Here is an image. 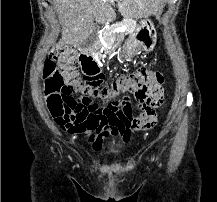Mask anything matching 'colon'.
Returning a JSON list of instances; mask_svg holds the SVG:
<instances>
[{"mask_svg":"<svg viewBox=\"0 0 217 202\" xmlns=\"http://www.w3.org/2000/svg\"><path fill=\"white\" fill-rule=\"evenodd\" d=\"M50 53V50H47ZM75 55H79L77 47H52L51 55L43 59V64H49L40 70L45 87V103H48L49 117H56L57 125L73 133L86 130L102 131L111 128L112 131H141L152 127L155 114L152 108L164 102V73L148 72L136 69V72L110 89L92 91V96H102L107 99L105 105L93 102L88 89L78 87L73 78H81L78 73V63ZM59 60V63H54ZM125 91L134 95L138 109L148 110V115L134 116L130 111V98Z\"/></svg>","mask_w":217,"mask_h":202,"instance_id":"colon-1","label":"colon"}]
</instances>
